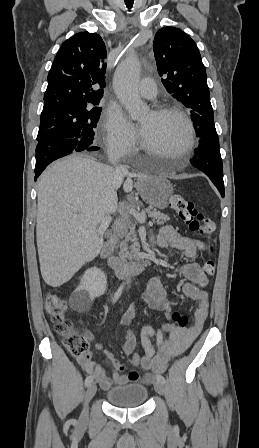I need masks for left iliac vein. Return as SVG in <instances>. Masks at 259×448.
I'll return each mask as SVG.
<instances>
[{"mask_svg": "<svg viewBox=\"0 0 259 448\" xmlns=\"http://www.w3.org/2000/svg\"><path fill=\"white\" fill-rule=\"evenodd\" d=\"M154 387H155V390H156V392L158 394H160V395H164L165 394V387H164L163 383H161L159 381H156Z\"/></svg>", "mask_w": 259, "mask_h": 448, "instance_id": "4c4485c4", "label": "left iliac vein"}]
</instances>
